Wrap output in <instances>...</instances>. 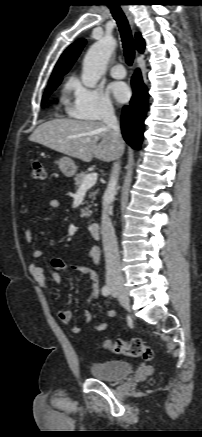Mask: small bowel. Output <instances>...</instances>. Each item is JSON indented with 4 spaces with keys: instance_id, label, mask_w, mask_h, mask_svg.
<instances>
[{
    "instance_id": "1",
    "label": "small bowel",
    "mask_w": 202,
    "mask_h": 437,
    "mask_svg": "<svg viewBox=\"0 0 202 437\" xmlns=\"http://www.w3.org/2000/svg\"><path fill=\"white\" fill-rule=\"evenodd\" d=\"M49 207L54 210L58 209L60 207V201L58 199H51L49 201ZM25 239L28 243H31L33 241V232L30 227H28L25 231ZM32 257L34 259H40L43 257V252L39 249H35L32 252ZM89 258L92 261V263H96L99 258L98 251L95 249H91L89 252ZM66 269H71L82 273H87L90 275V279L92 282V292L88 298V304H91L98 297L100 291L99 277L97 272L86 265L69 264L63 260L56 259V258L48 259V270L51 274L54 283L60 284L62 282V272ZM28 271L31 277L42 288H47L45 272L42 266H40L36 262H33L29 265ZM57 316L62 323L67 325L71 324L73 320L72 312L69 309H60L57 313ZM107 316L108 318L113 319L116 316V312L113 309L108 308ZM83 317L88 324L91 323L92 315L89 310H84ZM93 329L99 332H103L107 329V324L106 323L94 324ZM71 330L74 333H78L80 332L81 327L75 325L71 328Z\"/></svg>"
}]
</instances>
